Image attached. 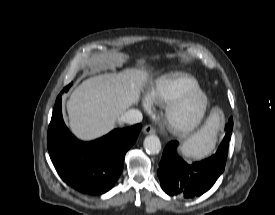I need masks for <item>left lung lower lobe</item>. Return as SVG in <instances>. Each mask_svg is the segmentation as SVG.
Listing matches in <instances>:
<instances>
[{
    "label": "left lung lower lobe",
    "instance_id": "left-lung-lower-lobe-1",
    "mask_svg": "<svg viewBox=\"0 0 275 215\" xmlns=\"http://www.w3.org/2000/svg\"><path fill=\"white\" fill-rule=\"evenodd\" d=\"M225 127L226 135L221 144L228 145L233 129V121ZM177 141L167 144L157 170L161 188L170 196L193 198L208 191L222 174L226 160L215 155L193 162L186 163L176 151Z\"/></svg>",
    "mask_w": 275,
    "mask_h": 215
}]
</instances>
